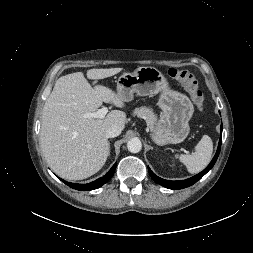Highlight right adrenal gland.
Returning <instances> with one entry per match:
<instances>
[{
	"mask_svg": "<svg viewBox=\"0 0 253 253\" xmlns=\"http://www.w3.org/2000/svg\"><path fill=\"white\" fill-rule=\"evenodd\" d=\"M109 155H110V143H109Z\"/></svg>",
	"mask_w": 253,
	"mask_h": 253,
	"instance_id": "1",
	"label": "right adrenal gland"
}]
</instances>
